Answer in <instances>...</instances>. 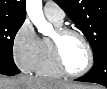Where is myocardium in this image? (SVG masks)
<instances>
[{"label":"myocardium","instance_id":"f54148a6","mask_svg":"<svg viewBox=\"0 0 107 89\" xmlns=\"http://www.w3.org/2000/svg\"><path fill=\"white\" fill-rule=\"evenodd\" d=\"M68 35H76L78 36L84 43L87 53H88V62L84 69H82L79 72H71L67 69L61 52V43L65 37ZM51 45H52V51H53V57L55 60V63L59 70L68 77H79L84 74H86L93 66L94 64V53L93 49L91 47V44L87 37L79 30L71 27H59L56 29L55 34L51 38Z\"/></svg>","mask_w":107,"mask_h":89}]
</instances>
